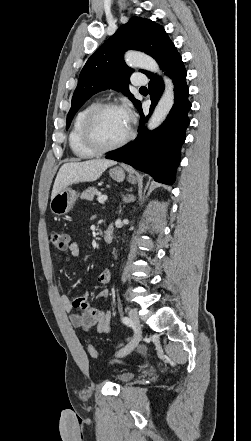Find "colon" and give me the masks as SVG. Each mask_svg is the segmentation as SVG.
<instances>
[{
  "instance_id": "5ec220e1",
  "label": "colon",
  "mask_w": 251,
  "mask_h": 441,
  "mask_svg": "<svg viewBox=\"0 0 251 441\" xmlns=\"http://www.w3.org/2000/svg\"><path fill=\"white\" fill-rule=\"evenodd\" d=\"M49 241L56 249L65 250L69 245V235L62 231H52L49 234ZM87 350L92 357L98 356L97 349L94 345L89 344Z\"/></svg>"
}]
</instances>
